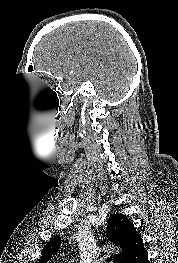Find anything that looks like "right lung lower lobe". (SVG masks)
Instances as JSON below:
<instances>
[{
	"label": "right lung lower lobe",
	"mask_w": 178,
	"mask_h": 263,
	"mask_svg": "<svg viewBox=\"0 0 178 263\" xmlns=\"http://www.w3.org/2000/svg\"><path fill=\"white\" fill-rule=\"evenodd\" d=\"M131 263H149L147 252L145 250L141 252Z\"/></svg>",
	"instance_id": "1"
}]
</instances>
